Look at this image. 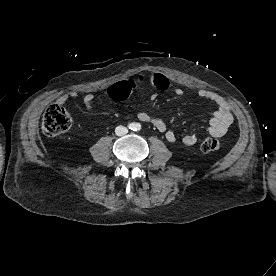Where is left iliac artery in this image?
Masks as SVG:
<instances>
[{"label": "left iliac artery", "mask_w": 276, "mask_h": 276, "mask_svg": "<svg viewBox=\"0 0 276 276\" xmlns=\"http://www.w3.org/2000/svg\"><path fill=\"white\" fill-rule=\"evenodd\" d=\"M140 128H141L140 125L136 126V130H140Z\"/></svg>", "instance_id": "1"}]
</instances>
